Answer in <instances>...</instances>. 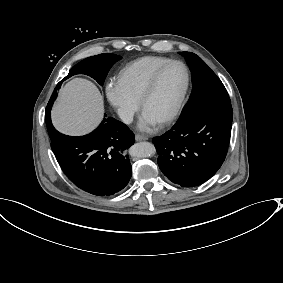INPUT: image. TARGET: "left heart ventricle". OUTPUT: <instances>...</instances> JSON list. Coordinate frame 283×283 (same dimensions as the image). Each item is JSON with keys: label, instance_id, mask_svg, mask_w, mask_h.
Segmentation results:
<instances>
[{"label": "left heart ventricle", "instance_id": "obj_1", "mask_svg": "<svg viewBox=\"0 0 283 283\" xmlns=\"http://www.w3.org/2000/svg\"><path fill=\"white\" fill-rule=\"evenodd\" d=\"M185 70L180 64L168 67L159 77L152 94L144 102L142 111L149 112L158 121L175 107L185 85Z\"/></svg>", "mask_w": 283, "mask_h": 283}]
</instances>
